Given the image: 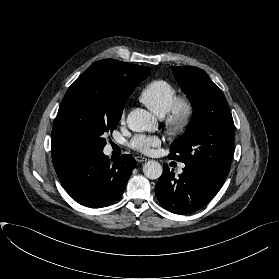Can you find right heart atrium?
I'll list each match as a JSON object with an SVG mask.
<instances>
[{"label": "right heart atrium", "instance_id": "d8ad5b80", "mask_svg": "<svg viewBox=\"0 0 279 279\" xmlns=\"http://www.w3.org/2000/svg\"><path fill=\"white\" fill-rule=\"evenodd\" d=\"M124 119H125V112H123V113L121 114V116H120V120H121V121H124Z\"/></svg>", "mask_w": 279, "mask_h": 279}]
</instances>
